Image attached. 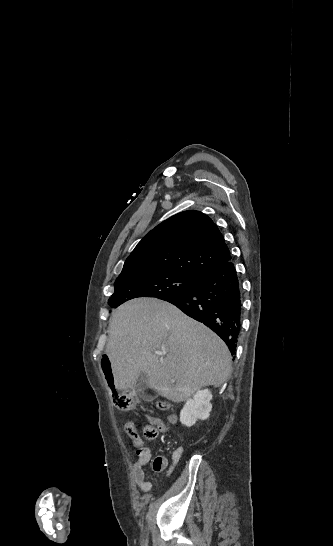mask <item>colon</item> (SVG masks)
I'll use <instances>...</instances> for the list:
<instances>
[{"label": "colon", "mask_w": 333, "mask_h": 546, "mask_svg": "<svg viewBox=\"0 0 333 546\" xmlns=\"http://www.w3.org/2000/svg\"><path fill=\"white\" fill-rule=\"evenodd\" d=\"M101 367H102V371L105 373L104 374V377L106 379H109L107 380V385H109V390L112 391V395H113V401H114V404L115 406L120 409V410H123V411H131V410H134L138 403H139V400L137 397H135L134 395L130 394V393H127V392H120L119 389H116V385L115 384V381L112 378V373H111V360L108 356H104L102 358V361H101ZM156 407L158 409H161V410H164V409H167L169 407V403L166 402V401H158L156 402ZM125 431L127 432L128 435H134L135 434V425L132 421H127L126 424H125ZM142 435L145 439H148V440H153L157 437L158 435V430L156 428V426L154 424H145L142 428Z\"/></svg>", "instance_id": "obj_1"}]
</instances>
